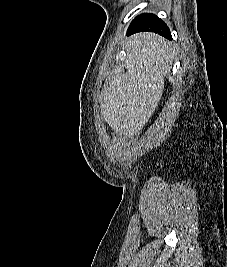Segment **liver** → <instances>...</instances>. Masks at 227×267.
<instances>
[{
    "label": "liver",
    "instance_id": "6515ba94",
    "mask_svg": "<svg viewBox=\"0 0 227 267\" xmlns=\"http://www.w3.org/2000/svg\"><path fill=\"white\" fill-rule=\"evenodd\" d=\"M128 71L115 76L102 91L101 114L120 134H135L148 122L163 95L173 48L153 33L132 36L126 46Z\"/></svg>",
    "mask_w": 227,
    "mask_h": 267
}]
</instances>
